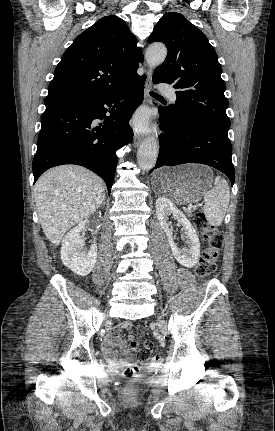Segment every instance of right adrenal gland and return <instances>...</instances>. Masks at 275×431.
Returning a JSON list of instances; mask_svg holds the SVG:
<instances>
[{"label": "right adrenal gland", "mask_w": 275, "mask_h": 431, "mask_svg": "<svg viewBox=\"0 0 275 431\" xmlns=\"http://www.w3.org/2000/svg\"><path fill=\"white\" fill-rule=\"evenodd\" d=\"M103 205H105V200L103 201V203H102Z\"/></svg>", "instance_id": "2a0ac1e0"}]
</instances>
